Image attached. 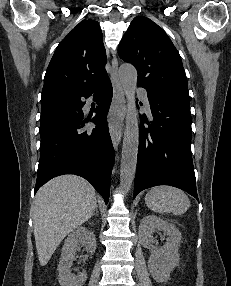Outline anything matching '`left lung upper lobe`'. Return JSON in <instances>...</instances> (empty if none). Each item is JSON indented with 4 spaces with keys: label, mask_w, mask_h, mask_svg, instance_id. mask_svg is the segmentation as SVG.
Returning <instances> with one entry per match:
<instances>
[{
    "label": "left lung upper lobe",
    "mask_w": 231,
    "mask_h": 286,
    "mask_svg": "<svg viewBox=\"0 0 231 286\" xmlns=\"http://www.w3.org/2000/svg\"><path fill=\"white\" fill-rule=\"evenodd\" d=\"M119 56L137 70V85L190 100L180 55L156 23L134 18L119 44Z\"/></svg>",
    "instance_id": "obj_1"
}]
</instances>
